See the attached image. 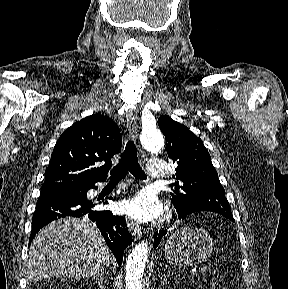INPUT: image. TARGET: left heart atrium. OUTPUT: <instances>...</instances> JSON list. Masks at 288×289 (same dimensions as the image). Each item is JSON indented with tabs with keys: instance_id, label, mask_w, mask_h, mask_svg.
Instances as JSON below:
<instances>
[{
	"instance_id": "1",
	"label": "left heart atrium",
	"mask_w": 288,
	"mask_h": 289,
	"mask_svg": "<svg viewBox=\"0 0 288 289\" xmlns=\"http://www.w3.org/2000/svg\"><path fill=\"white\" fill-rule=\"evenodd\" d=\"M121 211L138 220H153L161 214L162 206L153 194L142 192L135 198L124 201Z\"/></svg>"
}]
</instances>
